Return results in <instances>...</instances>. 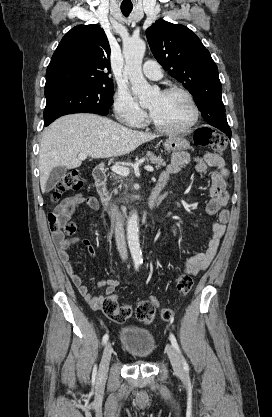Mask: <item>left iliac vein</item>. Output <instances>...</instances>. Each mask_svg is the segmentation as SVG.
<instances>
[{
    "label": "left iliac vein",
    "mask_w": 272,
    "mask_h": 417,
    "mask_svg": "<svg viewBox=\"0 0 272 417\" xmlns=\"http://www.w3.org/2000/svg\"><path fill=\"white\" fill-rule=\"evenodd\" d=\"M166 352L169 356L170 362L175 372L182 373L183 372V365L182 361L175 350V348L171 344L166 345Z\"/></svg>",
    "instance_id": "4c4485c4"
}]
</instances>
